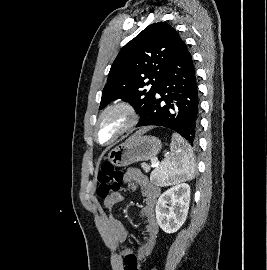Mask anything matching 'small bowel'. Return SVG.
<instances>
[{
  "label": "small bowel",
  "mask_w": 267,
  "mask_h": 270,
  "mask_svg": "<svg viewBox=\"0 0 267 270\" xmlns=\"http://www.w3.org/2000/svg\"><path fill=\"white\" fill-rule=\"evenodd\" d=\"M124 183L132 189L139 187L145 201V204L139 213L140 217L146 222L144 228L145 238L137 253L139 260H143L152 252L159 232V226L155 216V208L160 191L148 180L146 175L137 168H129L126 171L124 175ZM123 200L124 197L121 193H114L104 199V206L112 212V210L118 204L123 202ZM108 220L114 240L117 243H124L128 237V231L124 224L113 213L109 214ZM130 252H132L131 249L126 247L122 256L125 257Z\"/></svg>",
  "instance_id": "small-bowel-1"
}]
</instances>
